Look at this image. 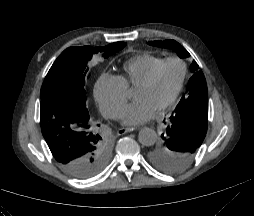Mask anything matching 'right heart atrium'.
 I'll return each mask as SVG.
<instances>
[{
  "label": "right heart atrium",
  "mask_w": 254,
  "mask_h": 216,
  "mask_svg": "<svg viewBox=\"0 0 254 216\" xmlns=\"http://www.w3.org/2000/svg\"><path fill=\"white\" fill-rule=\"evenodd\" d=\"M94 96L102 114L117 119L127 102V88L118 76L102 74L95 83Z\"/></svg>",
  "instance_id": "right-heart-atrium-1"
}]
</instances>
